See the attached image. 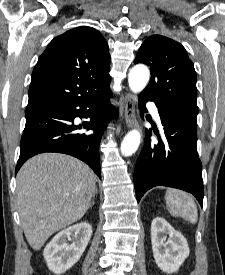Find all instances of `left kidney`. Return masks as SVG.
<instances>
[{"mask_svg": "<svg viewBox=\"0 0 225 275\" xmlns=\"http://www.w3.org/2000/svg\"><path fill=\"white\" fill-rule=\"evenodd\" d=\"M167 235L169 236L166 241ZM151 243L157 266L164 272H176L189 256V247L184 236L161 217L151 224Z\"/></svg>", "mask_w": 225, "mask_h": 275, "instance_id": "left-kidney-1", "label": "left kidney"}]
</instances>
